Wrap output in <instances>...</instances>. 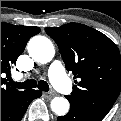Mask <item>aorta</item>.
I'll return each instance as SVG.
<instances>
[{
    "label": "aorta",
    "mask_w": 121,
    "mask_h": 121,
    "mask_svg": "<svg viewBox=\"0 0 121 121\" xmlns=\"http://www.w3.org/2000/svg\"><path fill=\"white\" fill-rule=\"evenodd\" d=\"M28 53L37 62L48 63L55 54L52 42L44 36H34L28 42ZM69 102L66 98L55 97L51 101V109L59 116L65 115L69 110Z\"/></svg>",
    "instance_id": "762f6f07"
}]
</instances>
